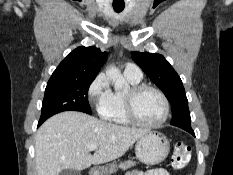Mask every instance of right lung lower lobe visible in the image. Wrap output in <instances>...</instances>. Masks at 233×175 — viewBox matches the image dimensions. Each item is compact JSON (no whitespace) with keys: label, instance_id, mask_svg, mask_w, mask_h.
Here are the masks:
<instances>
[{"label":"right lung lower lobe","instance_id":"obj_1","mask_svg":"<svg viewBox=\"0 0 233 175\" xmlns=\"http://www.w3.org/2000/svg\"><path fill=\"white\" fill-rule=\"evenodd\" d=\"M44 121H39L38 122V126H40Z\"/></svg>","mask_w":233,"mask_h":175}]
</instances>
